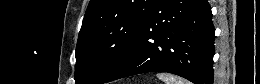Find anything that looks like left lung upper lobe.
I'll return each mask as SVG.
<instances>
[{
	"label": "left lung upper lobe",
	"instance_id": "left-lung-upper-lobe-1",
	"mask_svg": "<svg viewBox=\"0 0 260 84\" xmlns=\"http://www.w3.org/2000/svg\"><path fill=\"white\" fill-rule=\"evenodd\" d=\"M155 1H90L76 46V84L106 82L130 51Z\"/></svg>",
	"mask_w": 260,
	"mask_h": 84
}]
</instances>
